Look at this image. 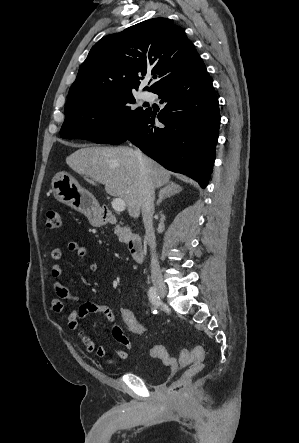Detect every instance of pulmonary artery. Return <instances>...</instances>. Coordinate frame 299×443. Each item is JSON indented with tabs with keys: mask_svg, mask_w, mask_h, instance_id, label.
Listing matches in <instances>:
<instances>
[{
	"mask_svg": "<svg viewBox=\"0 0 299 443\" xmlns=\"http://www.w3.org/2000/svg\"><path fill=\"white\" fill-rule=\"evenodd\" d=\"M144 97H145V98H148V97H149V95H147V94H146V95H145Z\"/></svg>",
	"mask_w": 299,
	"mask_h": 443,
	"instance_id": "e3ab8cb5",
	"label": "pulmonary artery"
}]
</instances>
